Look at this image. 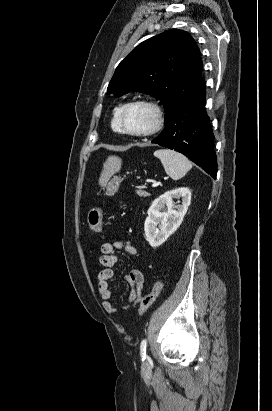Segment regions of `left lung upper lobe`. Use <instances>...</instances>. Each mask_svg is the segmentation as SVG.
Returning a JSON list of instances; mask_svg holds the SVG:
<instances>
[{
  "mask_svg": "<svg viewBox=\"0 0 272 411\" xmlns=\"http://www.w3.org/2000/svg\"><path fill=\"white\" fill-rule=\"evenodd\" d=\"M200 55L189 33L170 29L129 53L116 68L107 91L116 97L133 89L152 95L164 106L166 124L205 84Z\"/></svg>",
  "mask_w": 272,
  "mask_h": 411,
  "instance_id": "1",
  "label": "left lung upper lobe"
}]
</instances>
